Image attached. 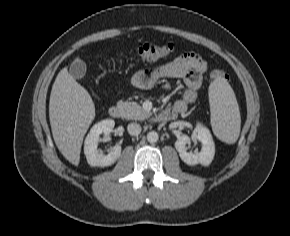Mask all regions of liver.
Returning a JSON list of instances; mask_svg holds the SVG:
<instances>
[{
	"label": "liver",
	"instance_id": "obj_1",
	"mask_svg": "<svg viewBox=\"0 0 290 236\" xmlns=\"http://www.w3.org/2000/svg\"><path fill=\"white\" fill-rule=\"evenodd\" d=\"M49 118L57 148L70 163L78 166L83 138L95 118V106L88 91L66 67L58 73L52 86Z\"/></svg>",
	"mask_w": 290,
	"mask_h": 236
}]
</instances>
